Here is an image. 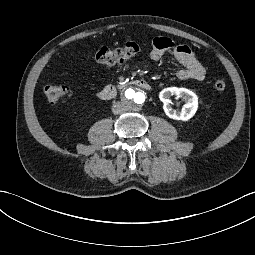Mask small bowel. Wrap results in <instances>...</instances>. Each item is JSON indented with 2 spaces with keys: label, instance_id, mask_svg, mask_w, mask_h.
Returning a JSON list of instances; mask_svg holds the SVG:
<instances>
[{
  "label": "small bowel",
  "instance_id": "obj_1",
  "mask_svg": "<svg viewBox=\"0 0 255 255\" xmlns=\"http://www.w3.org/2000/svg\"><path fill=\"white\" fill-rule=\"evenodd\" d=\"M150 58L153 61L172 59L181 64L183 68L177 72V77L181 80L193 79L201 81L206 76L205 68L190 47L176 45L171 39L166 37L154 39Z\"/></svg>",
  "mask_w": 255,
  "mask_h": 255
}]
</instances>
